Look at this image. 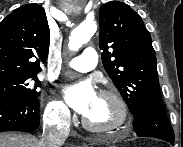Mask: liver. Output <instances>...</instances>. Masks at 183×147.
I'll return each instance as SVG.
<instances>
[{
  "instance_id": "6515ba94",
  "label": "liver",
  "mask_w": 183,
  "mask_h": 147,
  "mask_svg": "<svg viewBox=\"0 0 183 147\" xmlns=\"http://www.w3.org/2000/svg\"><path fill=\"white\" fill-rule=\"evenodd\" d=\"M39 140L31 135L4 133L0 134V147H40Z\"/></svg>"
}]
</instances>
